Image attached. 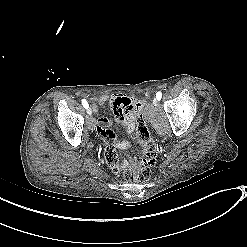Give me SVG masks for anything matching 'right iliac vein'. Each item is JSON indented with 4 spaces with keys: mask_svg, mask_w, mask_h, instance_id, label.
I'll list each match as a JSON object with an SVG mask.
<instances>
[{
    "mask_svg": "<svg viewBox=\"0 0 247 247\" xmlns=\"http://www.w3.org/2000/svg\"><path fill=\"white\" fill-rule=\"evenodd\" d=\"M87 113H88L89 115H92V109H91L90 107L87 108Z\"/></svg>",
    "mask_w": 247,
    "mask_h": 247,
    "instance_id": "63e3f726",
    "label": "right iliac vein"
}]
</instances>
